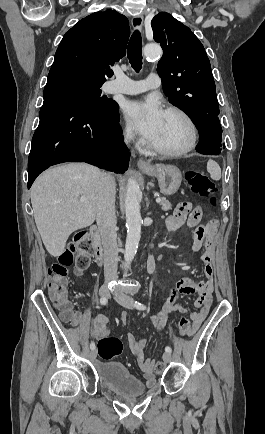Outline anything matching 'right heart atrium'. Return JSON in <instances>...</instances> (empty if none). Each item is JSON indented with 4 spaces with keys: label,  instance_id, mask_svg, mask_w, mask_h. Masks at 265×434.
I'll list each match as a JSON object with an SVG mask.
<instances>
[{
    "label": "right heart atrium",
    "instance_id": "1",
    "mask_svg": "<svg viewBox=\"0 0 265 434\" xmlns=\"http://www.w3.org/2000/svg\"><path fill=\"white\" fill-rule=\"evenodd\" d=\"M121 137L122 139H119L117 142L119 148H129V151L134 153L136 151V148L132 146L134 142L137 145V149H142L144 139L139 136L138 132H131V129H127V132H123Z\"/></svg>",
    "mask_w": 265,
    "mask_h": 434
}]
</instances>
